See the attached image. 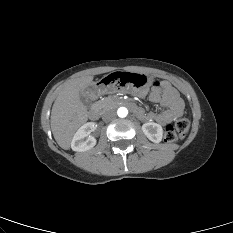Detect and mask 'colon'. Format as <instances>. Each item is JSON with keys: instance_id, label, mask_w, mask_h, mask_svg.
<instances>
[{"instance_id": "colon-1", "label": "colon", "mask_w": 233, "mask_h": 233, "mask_svg": "<svg viewBox=\"0 0 233 233\" xmlns=\"http://www.w3.org/2000/svg\"><path fill=\"white\" fill-rule=\"evenodd\" d=\"M155 87H160L161 83L156 81L153 84ZM190 123L187 119L181 118L177 120L174 124L168 125L165 129L164 138L167 142H176L177 140L183 138L188 132Z\"/></svg>"}]
</instances>
